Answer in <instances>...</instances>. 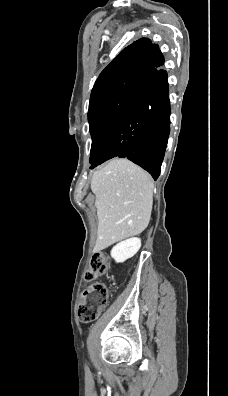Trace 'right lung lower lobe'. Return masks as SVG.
Instances as JSON below:
<instances>
[{
	"mask_svg": "<svg viewBox=\"0 0 228 396\" xmlns=\"http://www.w3.org/2000/svg\"><path fill=\"white\" fill-rule=\"evenodd\" d=\"M145 76L115 119L91 169L114 157H126L148 171L154 180L160 175L170 133V101L166 71L158 50L144 60Z\"/></svg>",
	"mask_w": 228,
	"mask_h": 396,
	"instance_id": "obj_1",
	"label": "right lung lower lobe"
}]
</instances>
